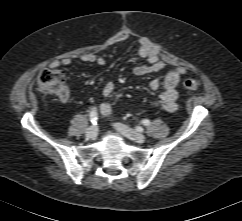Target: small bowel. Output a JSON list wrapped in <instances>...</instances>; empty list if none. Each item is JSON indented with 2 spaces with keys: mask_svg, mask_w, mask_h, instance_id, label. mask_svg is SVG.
I'll return each instance as SVG.
<instances>
[{
  "mask_svg": "<svg viewBox=\"0 0 242 221\" xmlns=\"http://www.w3.org/2000/svg\"><path fill=\"white\" fill-rule=\"evenodd\" d=\"M127 35H121L117 41H124ZM139 55L146 59L147 65H137L133 68V73L136 76H144L150 73L159 72L166 68V62L161 59L157 51L150 46L146 40H140ZM81 61L84 63H95L103 66L106 61L103 57L97 56L93 53H86L81 56ZM72 64L70 58H63L61 60H55L50 64L51 68H58L60 66H69ZM186 70L183 67H172L165 71L163 78H154L150 81L149 87L155 91L162 87V91L157 99L158 106L166 112H175L178 108L177 99L178 91L177 86L180 78L185 74ZM115 91V84L112 81L107 82L102 90L103 96L107 99L99 106L100 113L105 116H111L113 114V108L109 102V98ZM68 99V95L63 101Z\"/></svg>",
  "mask_w": 242,
  "mask_h": 221,
  "instance_id": "1",
  "label": "small bowel"
}]
</instances>
